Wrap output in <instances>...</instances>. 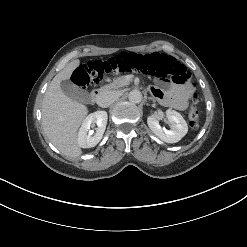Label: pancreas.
<instances>
[{"instance_id":"1","label":"pancreas","mask_w":247,"mask_h":247,"mask_svg":"<svg viewBox=\"0 0 247 247\" xmlns=\"http://www.w3.org/2000/svg\"><path fill=\"white\" fill-rule=\"evenodd\" d=\"M129 84V81L126 79V76H121L113 79V82L103 86L100 89V93H103L105 91L111 90V89H120Z\"/></svg>"}]
</instances>
